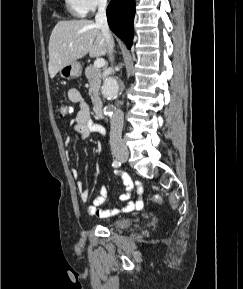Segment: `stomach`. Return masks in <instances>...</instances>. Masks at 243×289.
I'll use <instances>...</instances> for the list:
<instances>
[{"label":"stomach","instance_id":"stomach-1","mask_svg":"<svg viewBox=\"0 0 243 289\" xmlns=\"http://www.w3.org/2000/svg\"><path fill=\"white\" fill-rule=\"evenodd\" d=\"M60 76L65 79H72L79 77L82 73V66L79 62L74 61L72 63H69L65 66H63L59 70Z\"/></svg>","mask_w":243,"mask_h":289}]
</instances>
